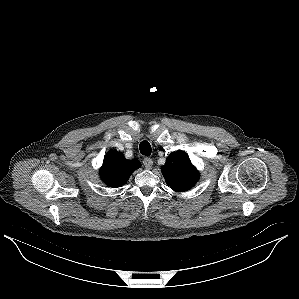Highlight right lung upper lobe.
Instances as JSON below:
<instances>
[{"instance_id": "obj_1", "label": "right lung upper lobe", "mask_w": 299, "mask_h": 299, "mask_svg": "<svg viewBox=\"0 0 299 299\" xmlns=\"http://www.w3.org/2000/svg\"><path fill=\"white\" fill-rule=\"evenodd\" d=\"M140 165L137 159L127 160L122 153L111 150L104 158L100 176L106 185L117 188L122 186Z\"/></svg>"}]
</instances>
